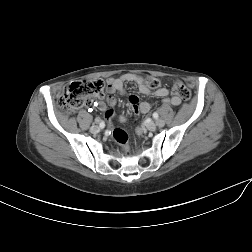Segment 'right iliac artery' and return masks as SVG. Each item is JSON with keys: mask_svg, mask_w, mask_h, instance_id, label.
Segmentation results:
<instances>
[{"mask_svg": "<svg viewBox=\"0 0 252 252\" xmlns=\"http://www.w3.org/2000/svg\"><path fill=\"white\" fill-rule=\"evenodd\" d=\"M100 129H101V130H104V129H105V123H104V122H101V123H100Z\"/></svg>", "mask_w": 252, "mask_h": 252, "instance_id": "right-iliac-artery-1", "label": "right iliac artery"}]
</instances>
